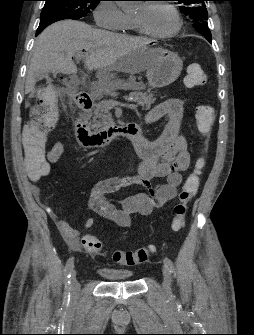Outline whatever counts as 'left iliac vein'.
Returning <instances> with one entry per match:
<instances>
[{"label": "left iliac vein", "instance_id": "4c4485c4", "mask_svg": "<svg viewBox=\"0 0 254 335\" xmlns=\"http://www.w3.org/2000/svg\"><path fill=\"white\" fill-rule=\"evenodd\" d=\"M162 274H163V283H162L163 289L166 293H169L171 289V275L169 269L166 266L163 267Z\"/></svg>", "mask_w": 254, "mask_h": 335}]
</instances>
